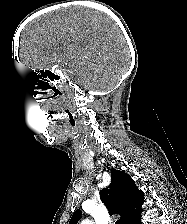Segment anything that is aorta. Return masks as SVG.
<instances>
[{
  "instance_id": "obj_1",
  "label": "aorta",
  "mask_w": 187,
  "mask_h": 224,
  "mask_svg": "<svg viewBox=\"0 0 187 224\" xmlns=\"http://www.w3.org/2000/svg\"><path fill=\"white\" fill-rule=\"evenodd\" d=\"M81 224H93V222L91 220L86 219V220H83Z\"/></svg>"
}]
</instances>
